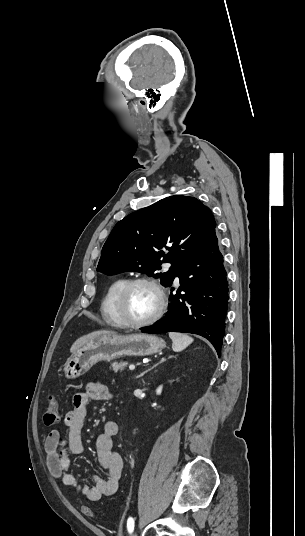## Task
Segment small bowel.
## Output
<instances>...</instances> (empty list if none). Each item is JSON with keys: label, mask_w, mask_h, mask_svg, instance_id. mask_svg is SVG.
<instances>
[{"label": "small bowel", "mask_w": 305, "mask_h": 536, "mask_svg": "<svg viewBox=\"0 0 305 536\" xmlns=\"http://www.w3.org/2000/svg\"><path fill=\"white\" fill-rule=\"evenodd\" d=\"M109 388L100 382H90L83 392H78L72 400V407L64 416L65 432L51 430L45 440L46 465L51 475L61 478L64 485L75 489L89 501H98L102 497L114 495L119 487L124 467L123 458L114 448L113 437L118 432L114 421L104 425L103 432L97 437V459L106 470V477L92 476L93 485L80 484L75 476L67 472L69 457L66 454L78 455L83 451L81 431L86 415V405L90 400L108 401L112 398Z\"/></svg>", "instance_id": "c3829d8e"}]
</instances>
